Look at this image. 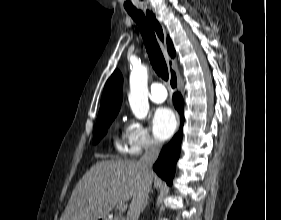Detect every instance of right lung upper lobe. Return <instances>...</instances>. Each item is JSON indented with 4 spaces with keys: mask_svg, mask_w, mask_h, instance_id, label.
Returning <instances> with one entry per match:
<instances>
[{
    "mask_svg": "<svg viewBox=\"0 0 281 220\" xmlns=\"http://www.w3.org/2000/svg\"><path fill=\"white\" fill-rule=\"evenodd\" d=\"M168 52L171 57L175 56V50L169 37L167 38ZM122 75L115 70L107 80L100 104L98 118L117 115L122 102Z\"/></svg>",
    "mask_w": 281,
    "mask_h": 220,
    "instance_id": "1",
    "label": "right lung upper lobe"
}]
</instances>
